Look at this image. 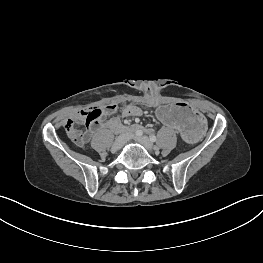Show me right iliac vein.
Wrapping results in <instances>:
<instances>
[{
    "mask_svg": "<svg viewBox=\"0 0 263 263\" xmlns=\"http://www.w3.org/2000/svg\"><path fill=\"white\" fill-rule=\"evenodd\" d=\"M131 137H132L131 133H124L118 136L112 145V150L116 151L120 149Z\"/></svg>",
    "mask_w": 263,
    "mask_h": 263,
    "instance_id": "1",
    "label": "right iliac vein"
}]
</instances>
